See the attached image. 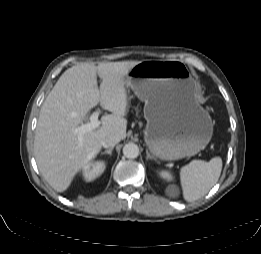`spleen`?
<instances>
[{"mask_svg": "<svg viewBox=\"0 0 261 254\" xmlns=\"http://www.w3.org/2000/svg\"><path fill=\"white\" fill-rule=\"evenodd\" d=\"M222 170V159L214 157L209 162L192 160L180 169L183 197L193 202L204 195L217 183Z\"/></svg>", "mask_w": 261, "mask_h": 254, "instance_id": "1", "label": "spleen"}]
</instances>
